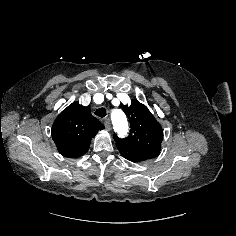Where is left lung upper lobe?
<instances>
[{
	"label": "left lung upper lobe",
	"mask_w": 236,
	"mask_h": 236,
	"mask_svg": "<svg viewBox=\"0 0 236 236\" xmlns=\"http://www.w3.org/2000/svg\"><path fill=\"white\" fill-rule=\"evenodd\" d=\"M122 109L129 119L131 130L125 139H119L114 134L117 147L160 151L163 130L148 108L134 99L130 106L125 105Z\"/></svg>",
	"instance_id": "obj_1"
}]
</instances>
